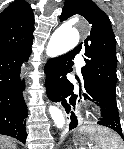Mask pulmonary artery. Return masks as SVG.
<instances>
[{
    "instance_id": "1",
    "label": "pulmonary artery",
    "mask_w": 124,
    "mask_h": 149,
    "mask_svg": "<svg viewBox=\"0 0 124 149\" xmlns=\"http://www.w3.org/2000/svg\"><path fill=\"white\" fill-rule=\"evenodd\" d=\"M76 61H77V67L80 69L84 65V61L80 56H77Z\"/></svg>"
}]
</instances>
